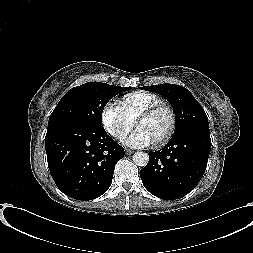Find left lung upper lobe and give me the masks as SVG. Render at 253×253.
I'll return each instance as SVG.
<instances>
[{
  "mask_svg": "<svg viewBox=\"0 0 253 253\" xmlns=\"http://www.w3.org/2000/svg\"><path fill=\"white\" fill-rule=\"evenodd\" d=\"M140 89L158 93L170 102L176 117L174 133L191 125L209 126L204 109L186 88L165 83Z\"/></svg>",
  "mask_w": 253,
  "mask_h": 253,
  "instance_id": "left-lung-upper-lobe-1",
  "label": "left lung upper lobe"
}]
</instances>
